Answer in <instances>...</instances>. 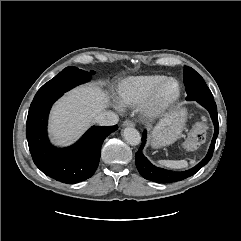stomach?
Returning a JSON list of instances; mask_svg holds the SVG:
<instances>
[{
  "mask_svg": "<svg viewBox=\"0 0 241 241\" xmlns=\"http://www.w3.org/2000/svg\"><path fill=\"white\" fill-rule=\"evenodd\" d=\"M187 119V110L177 107L166 113L150 134V144L154 148L174 143L181 135Z\"/></svg>",
  "mask_w": 241,
  "mask_h": 241,
  "instance_id": "0dacf381",
  "label": "stomach"
}]
</instances>
